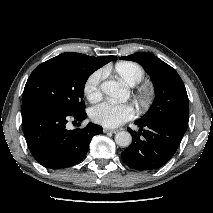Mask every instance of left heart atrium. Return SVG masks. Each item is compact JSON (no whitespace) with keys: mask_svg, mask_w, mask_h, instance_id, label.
Returning <instances> with one entry per match:
<instances>
[{"mask_svg":"<svg viewBox=\"0 0 213 213\" xmlns=\"http://www.w3.org/2000/svg\"><path fill=\"white\" fill-rule=\"evenodd\" d=\"M131 104H116L110 101L101 102L90 110L92 121L104 127L114 128L134 117Z\"/></svg>","mask_w":213,"mask_h":213,"instance_id":"39dd6f15","label":"left heart atrium"}]
</instances>
